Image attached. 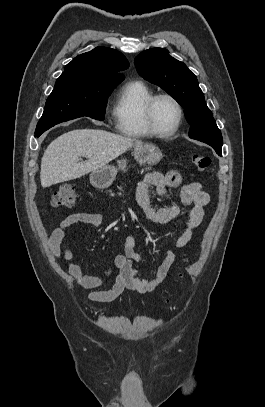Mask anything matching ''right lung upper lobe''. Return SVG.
Returning <instances> with one entry per match:
<instances>
[{
    "mask_svg": "<svg viewBox=\"0 0 265 407\" xmlns=\"http://www.w3.org/2000/svg\"><path fill=\"white\" fill-rule=\"evenodd\" d=\"M129 67V62L119 51L97 47L90 52L75 57L65 66L61 78H71L78 82L120 83L124 76L118 71Z\"/></svg>",
    "mask_w": 265,
    "mask_h": 407,
    "instance_id": "right-lung-upper-lobe-1",
    "label": "right lung upper lobe"
}]
</instances>
